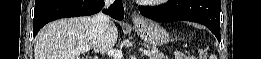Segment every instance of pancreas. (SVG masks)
Listing matches in <instances>:
<instances>
[{
  "mask_svg": "<svg viewBox=\"0 0 261 59\" xmlns=\"http://www.w3.org/2000/svg\"><path fill=\"white\" fill-rule=\"evenodd\" d=\"M150 53L151 55L149 56V59H165L164 54L159 53L158 50L154 48L150 51Z\"/></svg>",
  "mask_w": 261,
  "mask_h": 59,
  "instance_id": "cf45deb5",
  "label": "pancreas"
}]
</instances>
